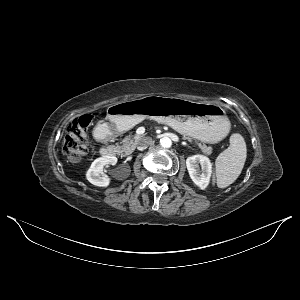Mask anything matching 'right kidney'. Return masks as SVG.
I'll list each match as a JSON object with an SVG mask.
<instances>
[{"label": "right kidney", "instance_id": "obj_1", "mask_svg": "<svg viewBox=\"0 0 300 300\" xmlns=\"http://www.w3.org/2000/svg\"><path fill=\"white\" fill-rule=\"evenodd\" d=\"M117 163V158L113 155H105L94 160L89 167L86 178L87 180L99 187H106L110 183V178L107 175L101 176L103 168L106 165H115Z\"/></svg>", "mask_w": 300, "mask_h": 300}]
</instances>
